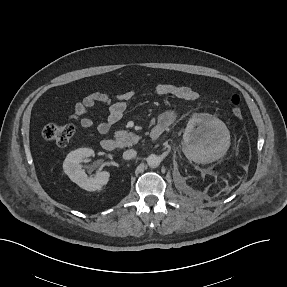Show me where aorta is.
I'll use <instances>...</instances> for the list:
<instances>
[{
	"mask_svg": "<svg viewBox=\"0 0 287 287\" xmlns=\"http://www.w3.org/2000/svg\"><path fill=\"white\" fill-rule=\"evenodd\" d=\"M160 162H161L160 157L155 154H151L147 157V164L151 168L158 167L160 165Z\"/></svg>",
	"mask_w": 287,
	"mask_h": 287,
	"instance_id": "1",
	"label": "aorta"
}]
</instances>
